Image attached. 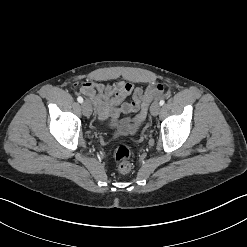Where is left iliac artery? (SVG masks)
I'll use <instances>...</instances> for the list:
<instances>
[{
    "instance_id": "left-iliac-artery-1",
    "label": "left iliac artery",
    "mask_w": 247,
    "mask_h": 247,
    "mask_svg": "<svg viewBox=\"0 0 247 247\" xmlns=\"http://www.w3.org/2000/svg\"><path fill=\"white\" fill-rule=\"evenodd\" d=\"M164 103H165L164 100H161V101L159 102V104H160L161 106L164 105Z\"/></svg>"
}]
</instances>
